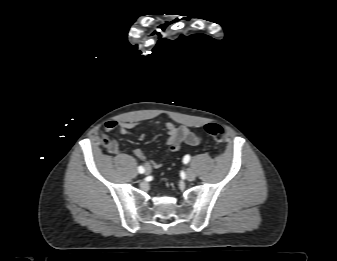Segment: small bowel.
<instances>
[{"label":"small bowel","instance_id":"small-bowel-1","mask_svg":"<svg viewBox=\"0 0 337 261\" xmlns=\"http://www.w3.org/2000/svg\"><path fill=\"white\" fill-rule=\"evenodd\" d=\"M155 125L165 131L168 135L166 139V152H175L180 146L184 144L188 145H198L201 141V138L196 133L192 132L189 128L185 126H176L172 123L161 124L156 122ZM138 126L137 122L134 121H116L109 120L105 123V131L111 132L114 130H118L119 135H128L132 136V130ZM139 139H143L144 135H139ZM109 151L112 153H119L120 148L119 144L116 140L112 141L109 145ZM134 155L140 159L145 160L146 155L144 151L140 148L134 149ZM162 164L160 159L150 160L145 163V167L149 168H159Z\"/></svg>","mask_w":337,"mask_h":261}]
</instances>
